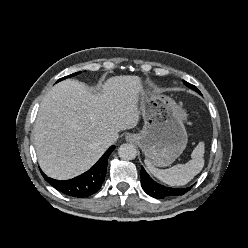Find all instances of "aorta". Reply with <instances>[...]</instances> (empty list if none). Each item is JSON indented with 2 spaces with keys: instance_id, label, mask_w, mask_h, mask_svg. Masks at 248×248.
<instances>
[{
  "instance_id": "762f6f07",
  "label": "aorta",
  "mask_w": 248,
  "mask_h": 248,
  "mask_svg": "<svg viewBox=\"0 0 248 248\" xmlns=\"http://www.w3.org/2000/svg\"><path fill=\"white\" fill-rule=\"evenodd\" d=\"M118 155L124 160H133L137 155V150L131 144H122L118 148Z\"/></svg>"
}]
</instances>
